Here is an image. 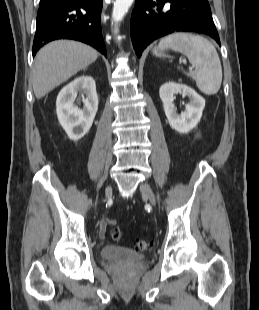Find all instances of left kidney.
<instances>
[{"label": "left kidney", "instance_id": "5707ae66", "mask_svg": "<svg viewBox=\"0 0 259 310\" xmlns=\"http://www.w3.org/2000/svg\"><path fill=\"white\" fill-rule=\"evenodd\" d=\"M177 93L188 96L190 99V102L185 106V111L181 114L176 112L174 106V94ZM159 95L166 117L173 129L186 134L198 125L205 107V100L194 89L184 84L168 82L160 87Z\"/></svg>", "mask_w": 259, "mask_h": 310}]
</instances>
